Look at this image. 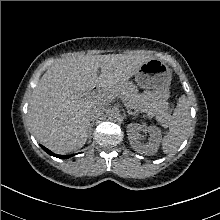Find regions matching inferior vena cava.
Wrapping results in <instances>:
<instances>
[{"mask_svg":"<svg viewBox=\"0 0 220 220\" xmlns=\"http://www.w3.org/2000/svg\"><path fill=\"white\" fill-rule=\"evenodd\" d=\"M105 111V106H97L93 108L90 112V120L94 121L95 119L99 118L101 115H103Z\"/></svg>","mask_w":220,"mask_h":220,"instance_id":"inferior-vena-cava-1","label":"inferior vena cava"}]
</instances>
